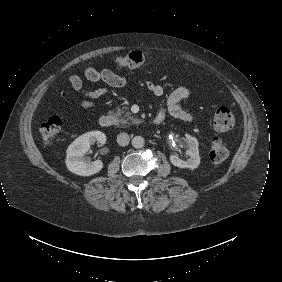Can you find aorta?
Wrapping results in <instances>:
<instances>
[{"label":"aorta","mask_w":282,"mask_h":282,"mask_svg":"<svg viewBox=\"0 0 282 282\" xmlns=\"http://www.w3.org/2000/svg\"><path fill=\"white\" fill-rule=\"evenodd\" d=\"M145 139L142 136H134L132 139V146L136 149H140L144 146Z\"/></svg>","instance_id":"aorta-1"}]
</instances>
